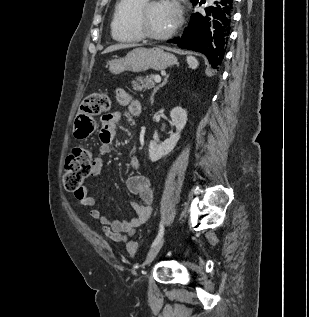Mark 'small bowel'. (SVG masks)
Wrapping results in <instances>:
<instances>
[{"label":"small bowel","mask_w":309,"mask_h":317,"mask_svg":"<svg viewBox=\"0 0 309 317\" xmlns=\"http://www.w3.org/2000/svg\"><path fill=\"white\" fill-rule=\"evenodd\" d=\"M116 98L119 103L128 107L131 114L135 116L140 114L139 102L133 100L125 91L118 89ZM120 120L121 114L119 112H112L102 117V127L99 134L100 146L98 155L93 161L90 175L97 176L101 173L103 158L113 149L116 129ZM130 164L134 170L138 168L136 158H132ZM126 186L132 194L139 197V201L132 204L135 216L129 220H110L104 216L100 209L94 208L96 200L86 187H82L74 193L81 207L93 208L91 217L102 225L103 234L114 242H126L135 233V230L149 219L152 211L153 191L146 177L139 174L132 175L127 179Z\"/></svg>","instance_id":"small-bowel-1"}]
</instances>
